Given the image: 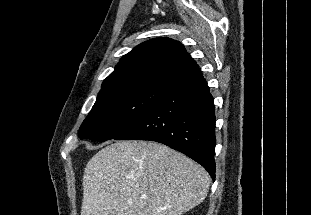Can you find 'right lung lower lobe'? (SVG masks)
Returning <instances> with one entry per match:
<instances>
[{
    "mask_svg": "<svg viewBox=\"0 0 311 215\" xmlns=\"http://www.w3.org/2000/svg\"><path fill=\"white\" fill-rule=\"evenodd\" d=\"M116 140L165 144L201 164L215 179V107L200 69L173 81L158 103Z\"/></svg>",
    "mask_w": 311,
    "mask_h": 215,
    "instance_id": "right-lung-lower-lobe-1",
    "label": "right lung lower lobe"
}]
</instances>
